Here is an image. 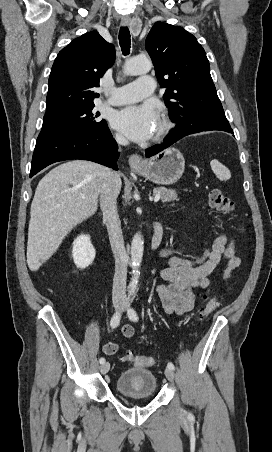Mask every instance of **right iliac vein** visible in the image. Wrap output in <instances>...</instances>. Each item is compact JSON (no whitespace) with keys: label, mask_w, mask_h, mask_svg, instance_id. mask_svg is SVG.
Here are the masks:
<instances>
[{"label":"right iliac vein","mask_w":272,"mask_h":452,"mask_svg":"<svg viewBox=\"0 0 272 452\" xmlns=\"http://www.w3.org/2000/svg\"><path fill=\"white\" fill-rule=\"evenodd\" d=\"M113 306H114V308L117 310V309H119V308L122 307V302H120V301H115V302L113 303ZM109 369H110V364H109V362L103 363V364L101 365V367H100V371H101L102 374H106V373L109 371Z\"/></svg>","instance_id":"obj_1"}]
</instances>
